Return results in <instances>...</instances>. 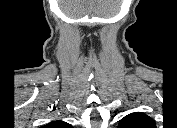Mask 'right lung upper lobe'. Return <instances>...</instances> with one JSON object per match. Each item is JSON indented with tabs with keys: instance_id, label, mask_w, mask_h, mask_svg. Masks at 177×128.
<instances>
[{
	"instance_id": "right-lung-upper-lobe-1",
	"label": "right lung upper lobe",
	"mask_w": 177,
	"mask_h": 128,
	"mask_svg": "<svg viewBox=\"0 0 177 128\" xmlns=\"http://www.w3.org/2000/svg\"><path fill=\"white\" fill-rule=\"evenodd\" d=\"M72 127L70 124L63 121H52L44 126V128H70Z\"/></svg>"
}]
</instances>
